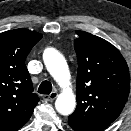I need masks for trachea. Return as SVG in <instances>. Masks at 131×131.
<instances>
[{"label":"trachea","mask_w":131,"mask_h":131,"mask_svg":"<svg viewBox=\"0 0 131 131\" xmlns=\"http://www.w3.org/2000/svg\"><path fill=\"white\" fill-rule=\"evenodd\" d=\"M51 91H52V84L49 81H43L38 88V92L40 94L49 95Z\"/></svg>","instance_id":"3493384b"}]
</instances>
